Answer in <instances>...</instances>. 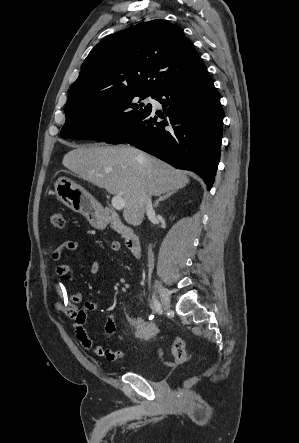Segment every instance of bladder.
<instances>
[{"mask_svg":"<svg viewBox=\"0 0 299 443\" xmlns=\"http://www.w3.org/2000/svg\"><path fill=\"white\" fill-rule=\"evenodd\" d=\"M130 368L132 369V372L137 373L143 377L151 378L154 376L151 369H149V368L139 367V366L135 365L134 363H131Z\"/></svg>","mask_w":299,"mask_h":443,"instance_id":"31cf9c89","label":"bladder"}]
</instances>
